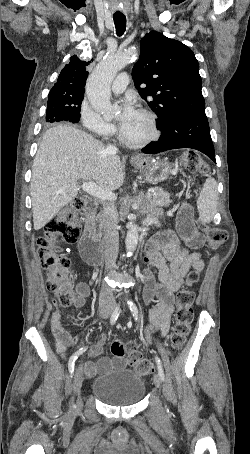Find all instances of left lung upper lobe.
<instances>
[{
    "mask_svg": "<svg viewBox=\"0 0 250 454\" xmlns=\"http://www.w3.org/2000/svg\"><path fill=\"white\" fill-rule=\"evenodd\" d=\"M141 56L132 69L135 87L157 114V128L178 115L205 111L199 64L183 43L151 31L140 45ZM145 84V88H140Z\"/></svg>",
    "mask_w": 250,
    "mask_h": 454,
    "instance_id": "1",
    "label": "left lung upper lobe"
}]
</instances>
